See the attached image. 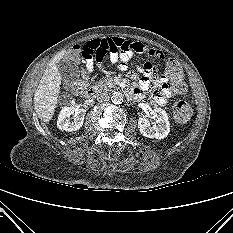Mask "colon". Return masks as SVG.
Segmentation results:
<instances>
[{
	"instance_id": "colon-1",
	"label": "colon",
	"mask_w": 233,
	"mask_h": 233,
	"mask_svg": "<svg viewBox=\"0 0 233 233\" xmlns=\"http://www.w3.org/2000/svg\"><path fill=\"white\" fill-rule=\"evenodd\" d=\"M166 71L170 76L168 86L179 94L186 91V84L183 80V72L180 63L174 59L168 60L166 63ZM87 87L85 78L69 83V88L77 95H82ZM192 114L191 105L184 101L178 100L173 106V115L178 122H186Z\"/></svg>"
}]
</instances>
